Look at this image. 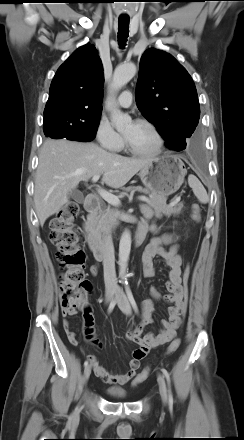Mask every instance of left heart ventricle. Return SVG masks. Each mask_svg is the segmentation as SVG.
Instances as JSON below:
<instances>
[{"instance_id": "b2bd125f", "label": "left heart ventricle", "mask_w": 244, "mask_h": 440, "mask_svg": "<svg viewBox=\"0 0 244 440\" xmlns=\"http://www.w3.org/2000/svg\"><path fill=\"white\" fill-rule=\"evenodd\" d=\"M130 144L140 151H151L156 146V139L147 127L131 123L123 131Z\"/></svg>"}]
</instances>
